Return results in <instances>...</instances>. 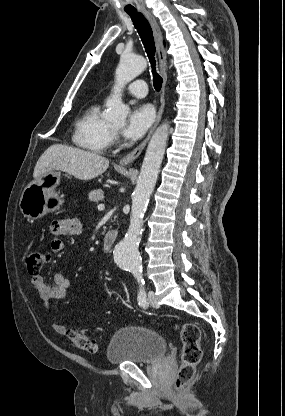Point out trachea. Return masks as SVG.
Wrapping results in <instances>:
<instances>
[{
	"label": "trachea",
	"mask_w": 285,
	"mask_h": 416,
	"mask_svg": "<svg viewBox=\"0 0 285 416\" xmlns=\"http://www.w3.org/2000/svg\"><path fill=\"white\" fill-rule=\"evenodd\" d=\"M137 29L140 38L143 42L145 51L148 55L149 61L151 63L152 67V73H153V85L157 92L161 90L163 79L158 73H156V60H155V43L153 38V32L150 24L148 23V20L144 17L142 13H129L128 14Z\"/></svg>",
	"instance_id": "trachea-1"
}]
</instances>
